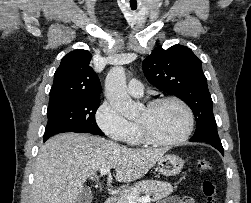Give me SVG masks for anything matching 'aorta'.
I'll return each instance as SVG.
<instances>
[{"instance_id": "762f6f07", "label": "aorta", "mask_w": 251, "mask_h": 203, "mask_svg": "<svg viewBox=\"0 0 251 203\" xmlns=\"http://www.w3.org/2000/svg\"><path fill=\"white\" fill-rule=\"evenodd\" d=\"M105 95L112 107L128 119L135 118L140 105L134 102L126 91L125 70L121 66L110 69L105 79Z\"/></svg>"}]
</instances>
